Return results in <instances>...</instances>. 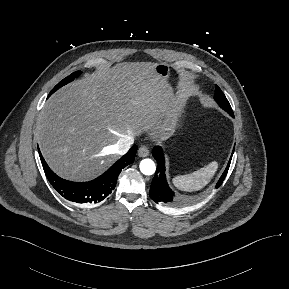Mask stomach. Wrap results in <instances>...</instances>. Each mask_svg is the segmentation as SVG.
Masks as SVG:
<instances>
[{
	"label": "stomach",
	"mask_w": 289,
	"mask_h": 289,
	"mask_svg": "<svg viewBox=\"0 0 289 289\" xmlns=\"http://www.w3.org/2000/svg\"><path fill=\"white\" fill-rule=\"evenodd\" d=\"M156 74L164 79H168L170 75V67L166 63H156L154 66Z\"/></svg>",
	"instance_id": "stomach-1"
}]
</instances>
